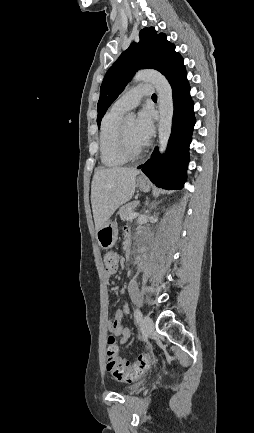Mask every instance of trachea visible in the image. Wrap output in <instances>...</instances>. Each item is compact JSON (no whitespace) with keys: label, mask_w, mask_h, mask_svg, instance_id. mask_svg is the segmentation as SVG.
Masks as SVG:
<instances>
[{"label":"trachea","mask_w":254,"mask_h":433,"mask_svg":"<svg viewBox=\"0 0 254 433\" xmlns=\"http://www.w3.org/2000/svg\"><path fill=\"white\" fill-rule=\"evenodd\" d=\"M152 99L157 100V95H156V94H153V95H152Z\"/></svg>","instance_id":"1"}]
</instances>
